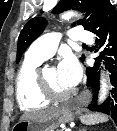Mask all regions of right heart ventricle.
<instances>
[{
    "mask_svg": "<svg viewBox=\"0 0 117 131\" xmlns=\"http://www.w3.org/2000/svg\"><path fill=\"white\" fill-rule=\"evenodd\" d=\"M44 60L25 58L16 78V96L22 110H37L48 105L38 83V68Z\"/></svg>",
    "mask_w": 117,
    "mask_h": 131,
    "instance_id": "right-heart-ventricle-1",
    "label": "right heart ventricle"
}]
</instances>
